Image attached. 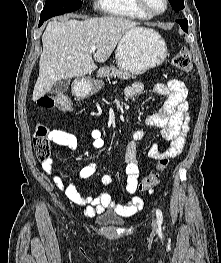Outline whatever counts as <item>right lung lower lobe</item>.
<instances>
[{"label": "right lung lower lobe", "instance_id": "obj_1", "mask_svg": "<svg viewBox=\"0 0 221 263\" xmlns=\"http://www.w3.org/2000/svg\"><path fill=\"white\" fill-rule=\"evenodd\" d=\"M44 21H45V19H40L39 27L43 24Z\"/></svg>", "mask_w": 221, "mask_h": 263}]
</instances>
